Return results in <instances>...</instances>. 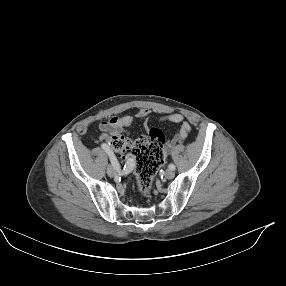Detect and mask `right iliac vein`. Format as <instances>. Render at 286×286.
Instances as JSON below:
<instances>
[{
    "label": "right iliac vein",
    "instance_id": "right-iliac-vein-1",
    "mask_svg": "<svg viewBox=\"0 0 286 286\" xmlns=\"http://www.w3.org/2000/svg\"><path fill=\"white\" fill-rule=\"evenodd\" d=\"M116 173H117V169H116L115 167H113V166H111V165L108 166V168H107V174H108L110 177L115 176Z\"/></svg>",
    "mask_w": 286,
    "mask_h": 286
}]
</instances>
